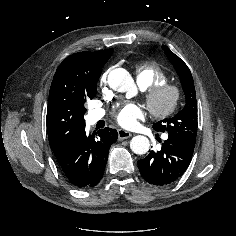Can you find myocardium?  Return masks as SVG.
Listing matches in <instances>:
<instances>
[{"instance_id": "obj_1", "label": "myocardium", "mask_w": 236, "mask_h": 236, "mask_svg": "<svg viewBox=\"0 0 236 236\" xmlns=\"http://www.w3.org/2000/svg\"><path fill=\"white\" fill-rule=\"evenodd\" d=\"M169 95L166 105H160V98ZM182 96L181 88L173 83H159L149 87L145 93V101L149 112L156 118H167L177 109Z\"/></svg>"}]
</instances>
